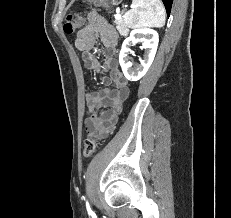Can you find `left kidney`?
<instances>
[{"label":"left kidney","mask_w":231,"mask_h":218,"mask_svg":"<svg viewBox=\"0 0 231 218\" xmlns=\"http://www.w3.org/2000/svg\"><path fill=\"white\" fill-rule=\"evenodd\" d=\"M158 41L159 36L157 31L150 28L134 29L131 31L130 36L124 40L119 55V63L123 74L128 80L137 81L146 74L154 60ZM138 42H142V47L146 52L144 58L140 59V66L133 69L129 57V53L131 52L130 47Z\"/></svg>","instance_id":"1"}]
</instances>
